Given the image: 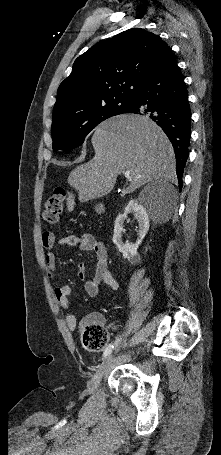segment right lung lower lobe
<instances>
[{
	"label": "right lung lower lobe",
	"mask_w": 221,
	"mask_h": 455,
	"mask_svg": "<svg viewBox=\"0 0 221 455\" xmlns=\"http://www.w3.org/2000/svg\"><path fill=\"white\" fill-rule=\"evenodd\" d=\"M125 113L145 115L166 133L174 148L181 190L189 153L191 110L184 79L172 51L139 86Z\"/></svg>",
	"instance_id": "98d812e1"
}]
</instances>
